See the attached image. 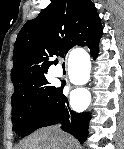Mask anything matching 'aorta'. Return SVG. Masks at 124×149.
Returning a JSON list of instances; mask_svg holds the SVG:
<instances>
[{"instance_id": "obj_1", "label": "aorta", "mask_w": 124, "mask_h": 149, "mask_svg": "<svg viewBox=\"0 0 124 149\" xmlns=\"http://www.w3.org/2000/svg\"><path fill=\"white\" fill-rule=\"evenodd\" d=\"M70 68H71L70 69L71 75L79 74L82 72L85 76H88L89 68H90V61H89L87 54H81L77 59H71Z\"/></svg>"}]
</instances>
